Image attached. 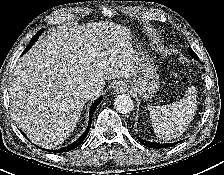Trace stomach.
I'll list each match as a JSON object with an SVG mask.
<instances>
[{
	"label": "stomach",
	"mask_w": 224,
	"mask_h": 175,
	"mask_svg": "<svg viewBox=\"0 0 224 175\" xmlns=\"http://www.w3.org/2000/svg\"><path fill=\"white\" fill-rule=\"evenodd\" d=\"M136 73L124 82L128 89L144 99H150L159 89V76L154 60L140 45L134 49Z\"/></svg>",
	"instance_id": "1"
}]
</instances>
